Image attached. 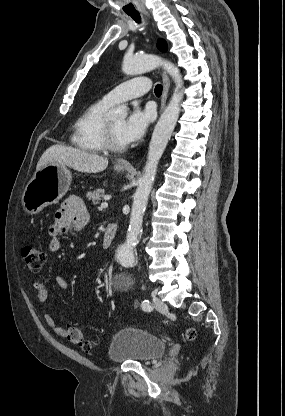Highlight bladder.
Here are the masks:
<instances>
[{"mask_svg": "<svg viewBox=\"0 0 285 416\" xmlns=\"http://www.w3.org/2000/svg\"><path fill=\"white\" fill-rule=\"evenodd\" d=\"M166 342L139 328H122L112 337L108 356L113 362L147 363L165 354Z\"/></svg>", "mask_w": 285, "mask_h": 416, "instance_id": "obj_1", "label": "bladder"}]
</instances>
